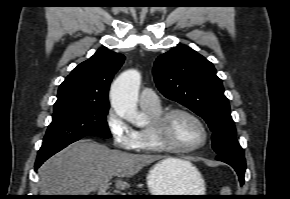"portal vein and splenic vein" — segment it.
<instances>
[{
  "mask_svg": "<svg viewBox=\"0 0 290 199\" xmlns=\"http://www.w3.org/2000/svg\"><path fill=\"white\" fill-rule=\"evenodd\" d=\"M109 188V183L105 182L98 190L99 195H108L107 190Z\"/></svg>",
  "mask_w": 290,
  "mask_h": 199,
  "instance_id": "1",
  "label": "portal vein and splenic vein"
}]
</instances>
